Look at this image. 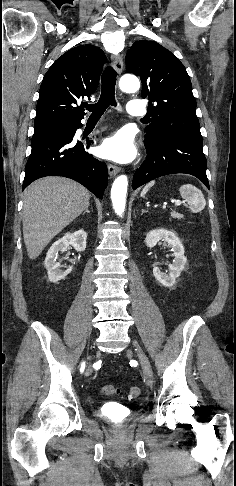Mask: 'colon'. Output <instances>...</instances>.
<instances>
[{
    "label": "colon",
    "mask_w": 236,
    "mask_h": 486,
    "mask_svg": "<svg viewBox=\"0 0 236 486\" xmlns=\"http://www.w3.org/2000/svg\"><path fill=\"white\" fill-rule=\"evenodd\" d=\"M142 389L139 386H132L128 389L127 395L129 398H137L141 394ZM120 390L112 385H106L101 388V393L106 396L118 394Z\"/></svg>",
    "instance_id": "5ec220e1"
}]
</instances>
